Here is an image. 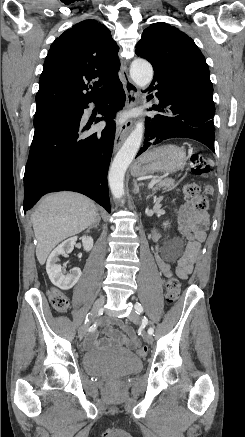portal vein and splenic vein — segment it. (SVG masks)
I'll list each match as a JSON object with an SVG mask.
<instances>
[{
	"label": "portal vein and splenic vein",
	"instance_id": "portal-vein-and-splenic-vein-1",
	"mask_svg": "<svg viewBox=\"0 0 245 437\" xmlns=\"http://www.w3.org/2000/svg\"><path fill=\"white\" fill-rule=\"evenodd\" d=\"M160 180H161L160 177H155V178H154L153 180H151V182L149 183L148 188H149V189L153 188V186H154L155 184H157Z\"/></svg>",
	"mask_w": 245,
	"mask_h": 437
}]
</instances>
